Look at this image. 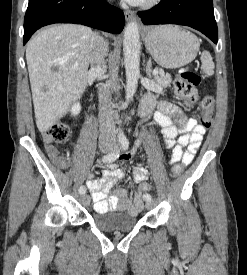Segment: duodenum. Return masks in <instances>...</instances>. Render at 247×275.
<instances>
[{
	"label": "duodenum",
	"instance_id": "1",
	"mask_svg": "<svg viewBox=\"0 0 247 275\" xmlns=\"http://www.w3.org/2000/svg\"><path fill=\"white\" fill-rule=\"evenodd\" d=\"M142 110H145V107H144V106H142Z\"/></svg>",
	"mask_w": 247,
	"mask_h": 275
}]
</instances>
